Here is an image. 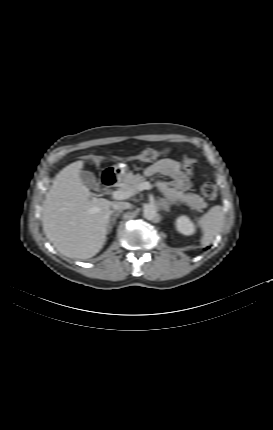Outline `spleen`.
<instances>
[{
    "label": "spleen",
    "instance_id": "obj_1",
    "mask_svg": "<svg viewBox=\"0 0 273 430\" xmlns=\"http://www.w3.org/2000/svg\"><path fill=\"white\" fill-rule=\"evenodd\" d=\"M224 209L220 205L210 208V210L197 220L198 226L203 232L201 244L203 247L210 245L216 235H218L224 225Z\"/></svg>",
    "mask_w": 273,
    "mask_h": 430
}]
</instances>
